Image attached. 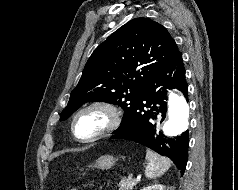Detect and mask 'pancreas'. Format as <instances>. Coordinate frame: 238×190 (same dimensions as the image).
<instances>
[{
    "instance_id": "cf45deb5",
    "label": "pancreas",
    "mask_w": 238,
    "mask_h": 190,
    "mask_svg": "<svg viewBox=\"0 0 238 190\" xmlns=\"http://www.w3.org/2000/svg\"><path fill=\"white\" fill-rule=\"evenodd\" d=\"M137 184V181L132 177L123 178L119 182V190H132V188Z\"/></svg>"
}]
</instances>
